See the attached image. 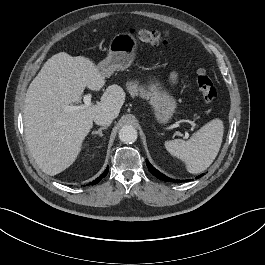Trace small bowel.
<instances>
[{
	"mask_svg": "<svg viewBox=\"0 0 265 265\" xmlns=\"http://www.w3.org/2000/svg\"><path fill=\"white\" fill-rule=\"evenodd\" d=\"M171 80L174 82L176 80V75L175 74H172L171 75Z\"/></svg>",
	"mask_w": 265,
	"mask_h": 265,
	"instance_id": "obj_1",
	"label": "small bowel"
}]
</instances>
